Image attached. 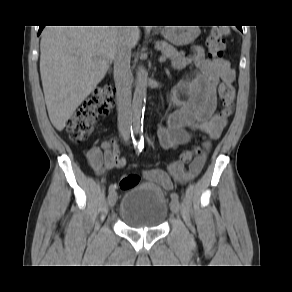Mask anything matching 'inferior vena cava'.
I'll return each instance as SVG.
<instances>
[{"label": "inferior vena cava", "instance_id": "602c4592", "mask_svg": "<svg viewBox=\"0 0 292 292\" xmlns=\"http://www.w3.org/2000/svg\"><path fill=\"white\" fill-rule=\"evenodd\" d=\"M125 28V27H121ZM131 49L122 45L114 59V81L118 100V130L125 142L130 138L131 125Z\"/></svg>", "mask_w": 292, "mask_h": 292}]
</instances>
